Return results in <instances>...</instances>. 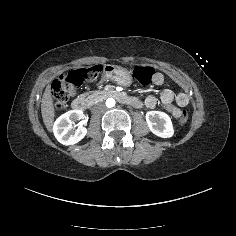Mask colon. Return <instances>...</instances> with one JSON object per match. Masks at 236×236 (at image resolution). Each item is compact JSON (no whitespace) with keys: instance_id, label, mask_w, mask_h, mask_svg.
I'll use <instances>...</instances> for the list:
<instances>
[{"instance_id":"5ec220e1","label":"colon","mask_w":236,"mask_h":236,"mask_svg":"<svg viewBox=\"0 0 236 236\" xmlns=\"http://www.w3.org/2000/svg\"><path fill=\"white\" fill-rule=\"evenodd\" d=\"M101 70L102 68L100 65H95L73 70L58 76L52 84L55 107L57 109L64 108L77 88L84 82L96 81ZM154 76L155 71L150 67H137L134 70V77L144 85L150 84L153 81ZM179 117L181 123H186L188 120V114L186 112H183Z\"/></svg>"}]
</instances>
